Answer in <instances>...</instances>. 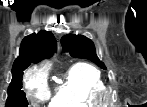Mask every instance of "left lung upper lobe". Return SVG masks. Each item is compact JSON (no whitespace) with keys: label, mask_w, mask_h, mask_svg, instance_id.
Instances as JSON below:
<instances>
[{"label":"left lung upper lobe","mask_w":147,"mask_h":107,"mask_svg":"<svg viewBox=\"0 0 147 107\" xmlns=\"http://www.w3.org/2000/svg\"><path fill=\"white\" fill-rule=\"evenodd\" d=\"M61 44L63 50L69 52L72 57L89 59L100 68L106 69L104 63L97 57L94 43L89 38L68 34L61 38Z\"/></svg>","instance_id":"5c2ea615"}]
</instances>
